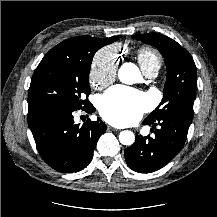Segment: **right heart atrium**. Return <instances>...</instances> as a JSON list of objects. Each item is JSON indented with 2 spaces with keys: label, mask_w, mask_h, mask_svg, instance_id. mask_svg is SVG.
<instances>
[{
  "label": "right heart atrium",
  "mask_w": 217,
  "mask_h": 217,
  "mask_svg": "<svg viewBox=\"0 0 217 217\" xmlns=\"http://www.w3.org/2000/svg\"><path fill=\"white\" fill-rule=\"evenodd\" d=\"M119 55L114 47L108 46L99 50L92 61L89 79L97 88H106L116 77Z\"/></svg>",
  "instance_id": "obj_1"
}]
</instances>
